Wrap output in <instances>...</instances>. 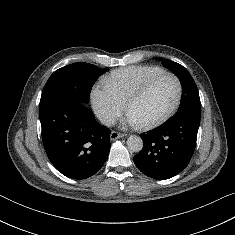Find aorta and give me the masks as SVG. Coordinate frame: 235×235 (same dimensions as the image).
Wrapping results in <instances>:
<instances>
[{"instance_id": "762f6f07", "label": "aorta", "mask_w": 235, "mask_h": 235, "mask_svg": "<svg viewBox=\"0 0 235 235\" xmlns=\"http://www.w3.org/2000/svg\"><path fill=\"white\" fill-rule=\"evenodd\" d=\"M127 146L132 152H140L143 148V140L139 136L131 135L127 140Z\"/></svg>"}]
</instances>
